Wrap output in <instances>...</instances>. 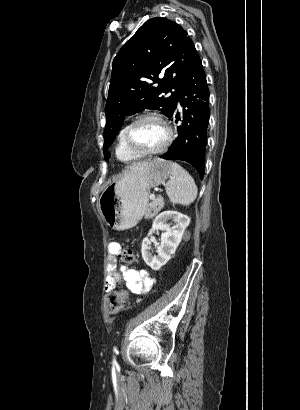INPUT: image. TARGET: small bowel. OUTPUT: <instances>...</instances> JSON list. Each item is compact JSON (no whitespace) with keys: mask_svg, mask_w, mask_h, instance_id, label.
I'll list each match as a JSON object with an SVG mask.
<instances>
[{"mask_svg":"<svg viewBox=\"0 0 300 410\" xmlns=\"http://www.w3.org/2000/svg\"><path fill=\"white\" fill-rule=\"evenodd\" d=\"M120 250L118 243H111L108 247L109 257L106 262L108 276L105 289L112 290L119 283H124L127 289L134 294L147 293L152 285L153 279L146 270H134L127 266L117 264L116 254Z\"/></svg>","mask_w":300,"mask_h":410,"instance_id":"1","label":"small bowel"}]
</instances>
